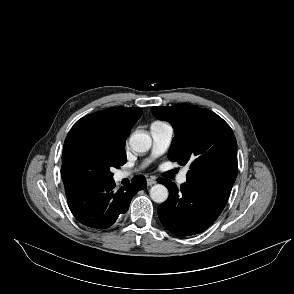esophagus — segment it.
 <instances>
[{
    "mask_svg": "<svg viewBox=\"0 0 294 294\" xmlns=\"http://www.w3.org/2000/svg\"><path fill=\"white\" fill-rule=\"evenodd\" d=\"M156 183V180L154 178H148L147 179V186H152Z\"/></svg>",
    "mask_w": 294,
    "mask_h": 294,
    "instance_id": "obj_1",
    "label": "esophagus"
}]
</instances>
